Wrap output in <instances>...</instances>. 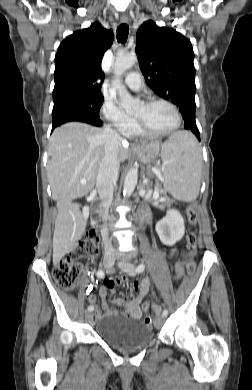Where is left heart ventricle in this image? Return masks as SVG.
<instances>
[{
	"instance_id": "left-heart-ventricle-1",
	"label": "left heart ventricle",
	"mask_w": 252,
	"mask_h": 390,
	"mask_svg": "<svg viewBox=\"0 0 252 390\" xmlns=\"http://www.w3.org/2000/svg\"><path fill=\"white\" fill-rule=\"evenodd\" d=\"M135 118L156 131L170 129L176 121L173 110L164 103H157L149 107L141 104L135 113Z\"/></svg>"
}]
</instances>
